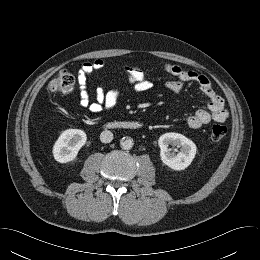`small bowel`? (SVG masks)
Here are the masks:
<instances>
[{
  "label": "small bowel",
  "mask_w": 260,
  "mask_h": 260,
  "mask_svg": "<svg viewBox=\"0 0 260 260\" xmlns=\"http://www.w3.org/2000/svg\"><path fill=\"white\" fill-rule=\"evenodd\" d=\"M104 68V61L97 59L91 62H84L77 72L79 103L81 107L87 109L92 114H100L103 111L112 110L124 93L123 89L106 91L104 88L98 87L95 92V101H91L87 85L88 76L94 72L102 71ZM163 69L174 77V79L165 83V88L168 91L178 93L183 90L187 83H197L202 93L209 99L206 109L197 110L187 119V124L190 128H199L211 120L216 122L227 120L228 112L225 109L224 100L214 91L210 80L205 75L192 70H186L176 64H165ZM124 70L130 81L131 92L141 94L151 89V82L146 78L145 72L141 67L128 66Z\"/></svg>",
  "instance_id": "c3829d8e"
}]
</instances>
